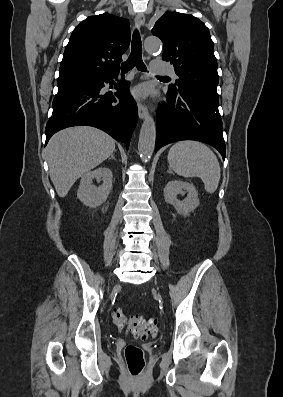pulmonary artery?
<instances>
[{"label":"pulmonary artery","mask_w":283,"mask_h":397,"mask_svg":"<svg viewBox=\"0 0 283 397\" xmlns=\"http://www.w3.org/2000/svg\"><path fill=\"white\" fill-rule=\"evenodd\" d=\"M151 70L156 73V74H171L175 76L173 70L166 66L162 61L160 60H154L151 64Z\"/></svg>","instance_id":"1"}]
</instances>
